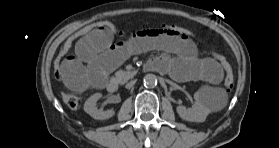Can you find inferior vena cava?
Masks as SVG:
<instances>
[{
	"instance_id": "obj_1",
	"label": "inferior vena cava",
	"mask_w": 279,
	"mask_h": 148,
	"mask_svg": "<svg viewBox=\"0 0 279 148\" xmlns=\"http://www.w3.org/2000/svg\"><path fill=\"white\" fill-rule=\"evenodd\" d=\"M135 84V81H131L126 84V88H131Z\"/></svg>"
}]
</instances>
